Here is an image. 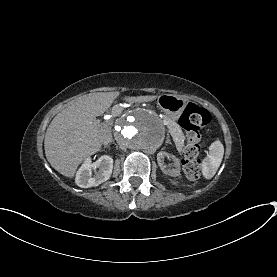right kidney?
Wrapping results in <instances>:
<instances>
[{
    "instance_id": "right-kidney-1",
    "label": "right kidney",
    "mask_w": 277,
    "mask_h": 277,
    "mask_svg": "<svg viewBox=\"0 0 277 277\" xmlns=\"http://www.w3.org/2000/svg\"><path fill=\"white\" fill-rule=\"evenodd\" d=\"M113 159L102 156L94 163L86 162L78 171L76 184L81 188L98 186L111 178Z\"/></svg>"
}]
</instances>
